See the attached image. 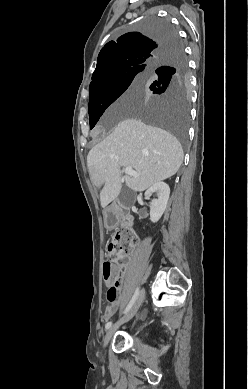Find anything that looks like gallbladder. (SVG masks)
<instances>
[{
    "label": "gallbladder",
    "instance_id": "gallbladder-1",
    "mask_svg": "<svg viewBox=\"0 0 248 389\" xmlns=\"http://www.w3.org/2000/svg\"><path fill=\"white\" fill-rule=\"evenodd\" d=\"M132 199V192L127 188L123 187L120 194H119V201L122 204H129Z\"/></svg>",
    "mask_w": 248,
    "mask_h": 389
}]
</instances>
